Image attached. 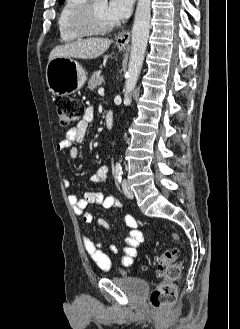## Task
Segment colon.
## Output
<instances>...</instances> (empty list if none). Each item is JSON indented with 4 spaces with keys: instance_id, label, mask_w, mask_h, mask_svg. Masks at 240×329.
<instances>
[{
    "instance_id": "obj_1",
    "label": "colon",
    "mask_w": 240,
    "mask_h": 329,
    "mask_svg": "<svg viewBox=\"0 0 240 329\" xmlns=\"http://www.w3.org/2000/svg\"><path fill=\"white\" fill-rule=\"evenodd\" d=\"M59 124L68 127L74 124L84 113L80 101L71 97L62 96L56 101ZM176 241L180 238L174 233ZM179 255V250H167L161 255L153 257L152 261L162 279L152 291L149 302L153 308L164 310L172 306L177 298V281L181 274L182 263H171Z\"/></svg>"
}]
</instances>
